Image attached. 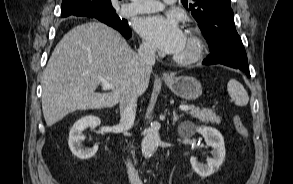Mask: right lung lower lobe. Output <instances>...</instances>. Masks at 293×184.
<instances>
[{
    "mask_svg": "<svg viewBox=\"0 0 293 184\" xmlns=\"http://www.w3.org/2000/svg\"><path fill=\"white\" fill-rule=\"evenodd\" d=\"M85 16L91 17V18L92 17L96 18V19L100 20L101 22L115 28L116 30H119L120 33L125 38H129L131 36V30H130L126 20L108 19V18L103 17L101 14L85 15Z\"/></svg>",
    "mask_w": 293,
    "mask_h": 184,
    "instance_id": "right-lung-lower-lobe-1",
    "label": "right lung lower lobe"
}]
</instances>
